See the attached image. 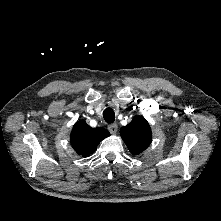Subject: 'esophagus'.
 Masks as SVG:
<instances>
[{"label":"esophagus","instance_id":"34e87169","mask_svg":"<svg viewBox=\"0 0 221 221\" xmlns=\"http://www.w3.org/2000/svg\"><path fill=\"white\" fill-rule=\"evenodd\" d=\"M108 130L112 133V134H115L117 132V124H110L108 126Z\"/></svg>","mask_w":221,"mask_h":221}]
</instances>
